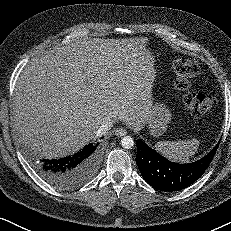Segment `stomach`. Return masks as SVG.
Wrapping results in <instances>:
<instances>
[{"label": "stomach", "instance_id": "stomach-1", "mask_svg": "<svg viewBox=\"0 0 231 231\" xmlns=\"http://www.w3.org/2000/svg\"><path fill=\"white\" fill-rule=\"evenodd\" d=\"M172 114L170 109L163 103H156L152 107L150 117L146 120L145 125L148 127L150 135L159 137L163 135L170 123Z\"/></svg>", "mask_w": 231, "mask_h": 231}]
</instances>
